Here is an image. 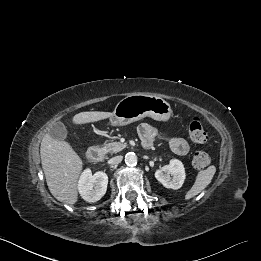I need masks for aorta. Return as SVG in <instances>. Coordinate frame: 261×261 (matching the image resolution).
Wrapping results in <instances>:
<instances>
[{
    "label": "aorta",
    "mask_w": 261,
    "mask_h": 261,
    "mask_svg": "<svg viewBox=\"0 0 261 261\" xmlns=\"http://www.w3.org/2000/svg\"><path fill=\"white\" fill-rule=\"evenodd\" d=\"M125 163L129 166H134L137 164V156L134 152H128L125 155Z\"/></svg>",
    "instance_id": "aorta-1"
}]
</instances>
